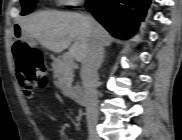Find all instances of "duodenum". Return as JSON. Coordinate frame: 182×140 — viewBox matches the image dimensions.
I'll return each instance as SVG.
<instances>
[{
	"label": "duodenum",
	"instance_id": "duodenum-1",
	"mask_svg": "<svg viewBox=\"0 0 182 140\" xmlns=\"http://www.w3.org/2000/svg\"><path fill=\"white\" fill-rule=\"evenodd\" d=\"M72 96H73V100L77 104L83 105L85 103V98H84L83 92L80 88H73Z\"/></svg>",
	"mask_w": 182,
	"mask_h": 140
}]
</instances>
